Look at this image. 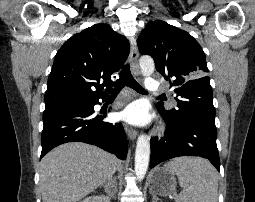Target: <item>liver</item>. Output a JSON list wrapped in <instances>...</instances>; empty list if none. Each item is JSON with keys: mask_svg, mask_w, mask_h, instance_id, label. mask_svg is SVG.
<instances>
[{"mask_svg": "<svg viewBox=\"0 0 255 202\" xmlns=\"http://www.w3.org/2000/svg\"><path fill=\"white\" fill-rule=\"evenodd\" d=\"M119 160L81 142L60 145L43 157L40 190L43 202H77L111 180Z\"/></svg>", "mask_w": 255, "mask_h": 202, "instance_id": "6515ba94", "label": "liver"}]
</instances>
